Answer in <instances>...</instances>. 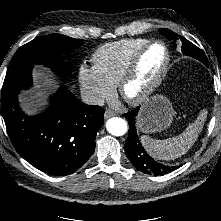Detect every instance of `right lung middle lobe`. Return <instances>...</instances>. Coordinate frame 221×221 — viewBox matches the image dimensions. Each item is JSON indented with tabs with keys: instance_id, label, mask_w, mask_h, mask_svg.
Instances as JSON below:
<instances>
[{
	"instance_id": "right-lung-middle-lobe-1",
	"label": "right lung middle lobe",
	"mask_w": 221,
	"mask_h": 221,
	"mask_svg": "<svg viewBox=\"0 0 221 221\" xmlns=\"http://www.w3.org/2000/svg\"><path fill=\"white\" fill-rule=\"evenodd\" d=\"M84 43L62 34H50L36 38L23 45L14 54L7 69L2 92L13 88H27L32 85V68L36 64L54 62L61 66V54H67Z\"/></svg>"
}]
</instances>
